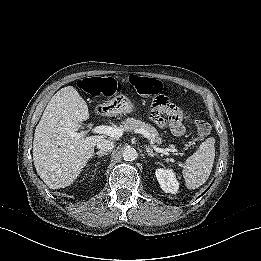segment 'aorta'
Wrapping results in <instances>:
<instances>
[{
  "label": "aorta",
  "mask_w": 261,
  "mask_h": 261,
  "mask_svg": "<svg viewBox=\"0 0 261 261\" xmlns=\"http://www.w3.org/2000/svg\"><path fill=\"white\" fill-rule=\"evenodd\" d=\"M122 157L125 161H133L137 158V152L134 148L128 147L123 151Z\"/></svg>",
  "instance_id": "1"
}]
</instances>
